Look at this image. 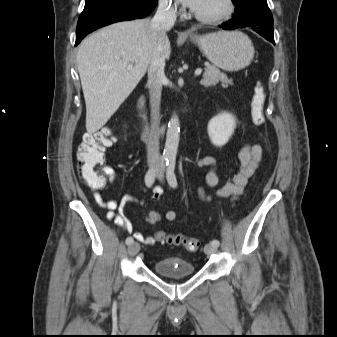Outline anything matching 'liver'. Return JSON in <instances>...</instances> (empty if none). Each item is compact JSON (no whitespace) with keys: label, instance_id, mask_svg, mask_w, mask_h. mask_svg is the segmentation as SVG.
<instances>
[{"label":"liver","instance_id":"6515ba94","mask_svg":"<svg viewBox=\"0 0 337 337\" xmlns=\"http://www.w3.org/2000/svg\"><path fill=\"white\" fill-rule=\"evenodd\" d=\"M161 42L168 59V37L151 28L149 19L119 22L82 41L77 65L86 103V130L101 129L145 75ZM133 64L132 69H127Z\"/></svg>","mask_w":337,"mask_h":337}]
</instances>
